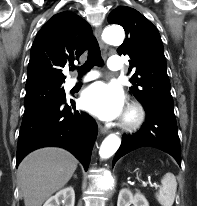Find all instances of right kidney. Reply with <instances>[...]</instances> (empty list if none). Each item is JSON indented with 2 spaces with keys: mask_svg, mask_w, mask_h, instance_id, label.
Returning <instances> with one entry per match:
<instances>
[{
  "mask_svg": "<svg viewBox=\"0 0 197 206\" xmlns=\"http://www.w3.org/2000/svg\"><path fill=\"white\" fill-rule=\"evenodd\" d=\"M61 202L65 206H74L75 192L73 187L70 186L60 190L54 196L50 197L43 206H59Z\"/></svg>",
  "mask_w": 197,
  "mask_h": 206,
  "instance_id": "1",
  "label": "right kidney"
}]
</instances>
